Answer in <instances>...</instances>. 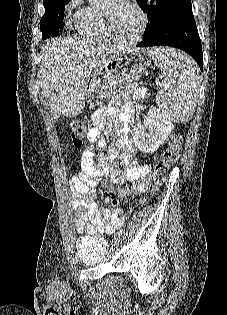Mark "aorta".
<instances>
[{
    "instance_id": "762f6f07",
    "label": "aorta",
    "mask_w": 227,
    "mask_h": 315,
    "mask_svg": "<svg viewBox=\"0 0 227 315\" xmlns=\"http://www.w3.org/2000/svg\"><path fill=\"white\" fill-rule=\"evenodd\" d=\"M88 1H89V3H91V4H97V3L102 2L103 0H88Z\"/></svg>"
}]
</instances>
